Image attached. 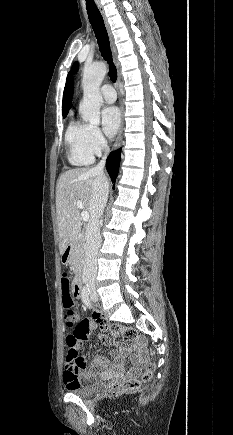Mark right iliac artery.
Returning <instances> with one entry per match:
<instances>
[{
	"label": "right iliac artery",
	"instance_id": "right-iliac-artery-1",
	"mask_svg": "<svg viewBox=\"0 0 233 435\" xmlns=\"http://www.w3.org/2000/svg\"><path fill=\"white\" fill-rule=\"evenodd\" d=\"M82 300L87 307L92 308V303H91L90 298H89V288H87V287H83Z\"/></svg>",
	"mask_w": 233,
	"mask_h": 435
}]
</instances>
